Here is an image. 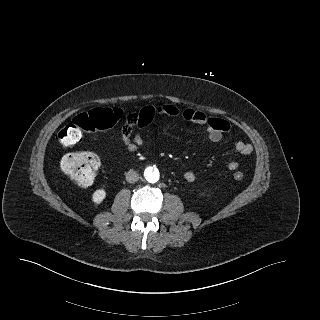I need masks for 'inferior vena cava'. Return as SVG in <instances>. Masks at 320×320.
<instances>
[{"label":"inferior vena cava","instance_id":"obj_1","mask_svg":"<svg viewBox=\"0 0 320 320\" xmlns=\"http://www.w3.org/2000/svg\"><path fill=\"white\" fill-rule=\"evenodd\" d=\"M126 180L129 183H135L136 181L139 180V175H138V173L136 171L129 170L126 173Z\"/></svg>","mask_w":320,"mask_h":320}]
</instances>
